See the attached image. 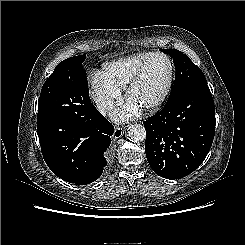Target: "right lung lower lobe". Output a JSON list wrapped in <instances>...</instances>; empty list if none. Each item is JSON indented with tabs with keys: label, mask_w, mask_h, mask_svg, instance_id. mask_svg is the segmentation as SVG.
Returning <instances> with one entry per match:
<instances>
[{
	"label": "right lung lower lobe",
	"mask_w": 245,
	"mask_h": 245,
	"mask_svg": "<svg viewBox=\"0 0 245 245\" xmlns=\"http://www.w3.org/2000/svg\"><path fill=\"white\" fill-rule=\"evenodd\" d=\"M37 131L43 158L58 177L87 185L101 176L114 127L95 106L84 122L37 118Z\"/></svg>",
	"instance_id": "right-lung-lower-lobe-1"
}]
</instances>
